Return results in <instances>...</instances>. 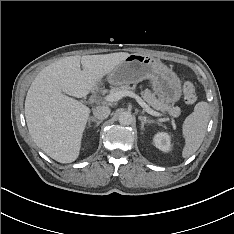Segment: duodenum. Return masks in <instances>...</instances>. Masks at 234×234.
Returning <instances> with one entry per match:
<instances>
[{
    "instance_id": "410a0bca",
    "label": "duodenum",
    "mask_w": 234,
    "mask_h": 234,
    "mask_svg": "<svg viewBox=\"0 0 234 234\" xmlns=\"http://www.w3.org/2000/svg\"><path fill=\"white\" fill-rule=\"evenodd\" d=\"M96 96H97L96 92L93 91V92L89 95L88 100H89L90 102H93V101L95 100Z\"/></svg>"
}]
</instances>
